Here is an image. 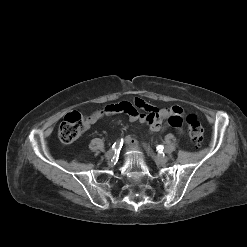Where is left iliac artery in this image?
I'll return each mask as SVG.
<instances>
[{"label": "left iliac artery", "instance_id": "44dca946", "mask_svg": "<svg viewBox=\"0 0 247 247\" xmlns=\"http://www.w3.org/2000/svg\"><path fill=\"white\" fill-rule=\"evenodd\" d=\"M157 149H158V151L161 152V153H163V151H164L165 153H170V152H171V150H170L169 148L164 147V146H162V145L158 146Z\"/></svg>", "mask_w": 247, "mask_h": 247}]
</instances>
